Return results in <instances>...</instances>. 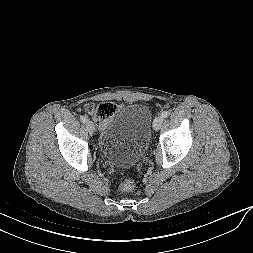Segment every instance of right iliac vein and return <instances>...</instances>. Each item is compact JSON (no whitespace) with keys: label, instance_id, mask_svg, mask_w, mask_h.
Segmentation results:
<instances>
[{"label":"right iliac vein","instance_id":"63e3f726","mask_svg":"<svg viewBox=\"0 0 253 253\" xmlns=\"http://www.w3.org/2000/svg\"><path fill=\"white\" fill-rule=\"evenodd\" d=\"M86 129L88 130V132L93 133L95 131V126L93 122L91 121L86 122Z\"/></svg>","mask_w":253,"mask_h":253}]
</instances>
